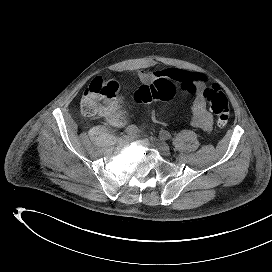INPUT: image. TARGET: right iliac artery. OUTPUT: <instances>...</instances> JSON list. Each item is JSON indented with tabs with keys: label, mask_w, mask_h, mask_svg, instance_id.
<instances>
[{
	"label": "right iliac artery",
	"mask_w": 272,
	"mask_h": 272,
	"mask_svg": "<svg viewBox=\"0 0 272 272\" xmlns=\"http://www.w3.org/2000/svg\"><path fill=\"white\" fill-rule=\"evenodd\" d=\"M138 128L135 125H130L126 128L125 132L128 135H134L135 133H137Z\"/></svg>",
	"instance_id": "obj_1"
}]
</instances>
